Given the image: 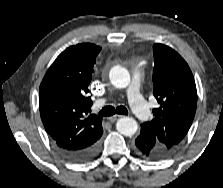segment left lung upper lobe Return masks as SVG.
Returning a JSON list of instances; mask_svg holds the SVG:
<instances>
[{
    "label": "left lung upper lobe",
    "mask_w": 223,
    "mask_h": 188,
    "mask_svg": "<svg viewBox=\"0 0 223 188\" xmlns=\"http://www.w3.org/2000/svg\"><path fill=\"white\" fill-rule=\"evenodd\" d=\"M153 95L160 106L154 118L141 127L148 130L168 154L187 134L197 106L193 74L185 60L172 48L154 44Z\"/></svg>",
    "instance_id": "1"
}]
</instances>
